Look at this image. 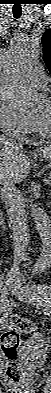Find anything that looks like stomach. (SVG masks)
<instances>
[{
  "instance_id": "1",
  "label": "stomach",
  "mask_w": 51,
  "mask_h": 393,
  "mask_svg": "<svg viewBox=\"0 0 51 393\" xmlns=\"http://www.w3.org/2000/svg\"><path fill=\"white\" fill-rule=\"evenodd\" d=\"M50 147H51V146H50ZM37 154H38V155H40V153H39V152H38ZM50 159H51V155H50Z\"/></svg>"
}]
</instances>
